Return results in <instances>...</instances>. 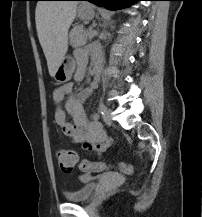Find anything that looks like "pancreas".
<instances>
[{
	"label": "pancreas",
	"instance_id": "1",
	"mask_svg": "<svg viewBox=\"0 0 202 217\" xmlns=\"http://www.w3.org/2000/svg\"><path fill=\"white\" fill-rule=\"evenodd\" d=\"M69 37L70 44L73 47H78L85 45L87 40L93 37V34H88L83 31L81 26H76L71 30Z\"/></svg>",
	"mask_w": 202,
	"mask_h": 217
}]
</instances>
